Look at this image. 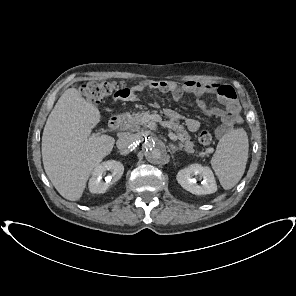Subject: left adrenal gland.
I'll return each mask as SVG.
<instances>
[{
	"instance_id": "a2214340",
	"label": "left adrenal gland",
	"mask_w": 296,
	"mask_h": 296,
	"mask_svg": "<svg viewBox=\"0 0 296 296\" xmlns=\"http://www.w3.org/2000/svg\"><path fill=\"white\" fill-rule=\"evenodd\" d=\"M169 147L173 153L178 152V151H182L181 146H176L173 143H169Z\"/></svg>"
}]
</instances>
